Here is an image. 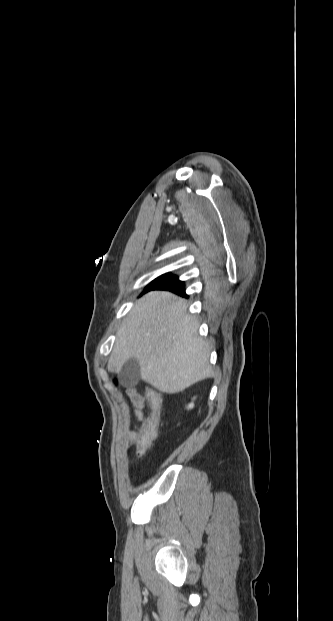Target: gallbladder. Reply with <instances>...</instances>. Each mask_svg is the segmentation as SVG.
<instances>
[{"instance_id": "bac80fb5", "label": "gallbladder", "mask_w": 333, "mask_h": 621, "mask_svg": "<svg viewBox=\"0 0 333 621\" xmlns=\"http://www.w3.org/2000/svg\"><path fill=\"white\" fill-rule=\"evenodd\" d=\"M119 382L127 387L138 384L140 380V365L135 358L128 359L117 373Z\"/></svg>"}]
</instances>
